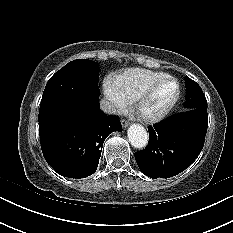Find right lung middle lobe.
Instances as JSON below:
<instances>
[{"mask_svg": "<svg viewBox=\"0 0 233 233\" xmlns=\"http://www.w3.org/2000/svg\"><path fill=\"white\" fill-rule=\"evenodd\" d=\"M99 71L97 63L80 59L68 63L56 72L43 92L39 124L56 117H74L81 92L99 96Z\"/></svg>", "mask_w": 233, "mask_h": 233, "instance_id": "right-lung-middle-lobe-1", "label": "right lung middle lobe"}]
</instances>
